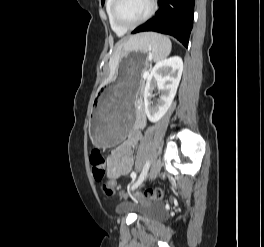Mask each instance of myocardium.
Listing matches in <instances>:
<instances>
[{
    "label": "myocardium",
    "mask_w": 264,
    "mask_h": 247,
    "mask_svg": "<svg viewBox=\"0 0 264 247\" xmlns=\"http://www.w3.org/2000/svg\"><path fill=\"white\" fill-rule=\"evenodd\" d=\"M149 2H150L149 10L143 18H141L140 20L134 23H125L119 17V6L121 0H114L112 5V18L115 24L123 28L124 30H131L142 25L152 17V15L155 13L156 10V0H150Z\"/></svg>",
    "instance_id": "1"
}]
</instances>
